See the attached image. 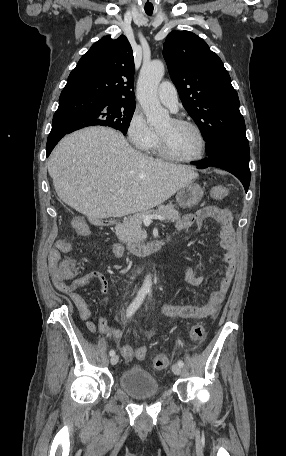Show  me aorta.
Wrapping results in <instances>:
<instances>
[{
    "label": "aorta",
    "mask_w": 286,
    "mask_h": 456,
    "mask_svg": "<svg viewBox=\"0 0 286 456\" xmlns=\"http://www.w3.org/2000/svg\"><path fill=\"white\" fill-rule=\"evenodd\" d=\"M164 72L165 67L160 60L144 64L137 83L138 101L147 117L148 124L152 126L160 125L170 118L168 111L161 106L157 95V88ZM142 289L151 291L152 278L150 274L145 276Z\"/></svg>",
    "instance_id": "aorta-1"
}]
</instances>
